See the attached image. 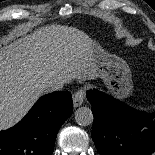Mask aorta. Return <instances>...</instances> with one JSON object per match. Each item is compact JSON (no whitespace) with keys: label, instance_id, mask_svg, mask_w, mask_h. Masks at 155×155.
I'll list each match as a JSON object with an SVG mask.
<instances>
[{"label":"aorta","instance_id":"obj_1","mask_svg":"<svg viewBox=\"0 0 155 155\" xmlns=\"http://www.w3.org/2000/svg\"><path fill=\"white\" fill-rule=\"evenodd\" d=\"M94 120L93 113L88 107H80L75 111V121L80 126H88Z\"/></svg>","mask_w":155,"mask_h":155}]
</instances>
